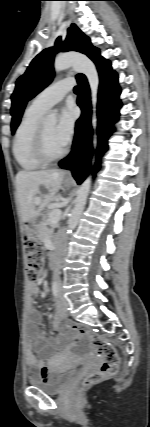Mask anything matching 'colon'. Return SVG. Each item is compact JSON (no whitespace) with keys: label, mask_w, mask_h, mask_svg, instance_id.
Returning a JSON list of instances; mask_svg holds the SVG:
<instances>
[{"label":"colon","mask_w":150,"mask_h":427,"mask_svg":"<svg viewBox=\"0 0 150 427\" xmlns=\"http://www.w3.org/2000/svg\"><path fill=\"white\" fill-rule=\"evenodd\" d=\"M26 251V274L30 281H37L41 276L43 265V250L38 239L27 230L23 237ZM73 323H71L72 325ZM69 326V331L87 343L91 350L101 360L99 369L89 374L83 381L84 386H91L104 378L115 375L119 370V356L112 343L99 335H91L82 327L76 325L75 329Z\"/></svg>","instance_id":"obj_1"}]
</instances>
